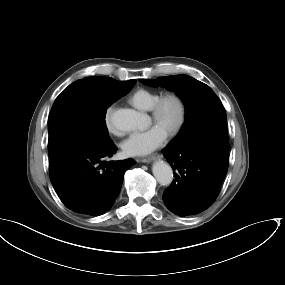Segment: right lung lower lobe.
Masks as SVG:
<instances>
[{
	"label": "right lung lower lobe",
	"mask_w": 285,
	"mask_h": 285,
	"mask_svg": "<svg viewBox=\"0 0 285 285\" xmlns=\"http://www.w3.org/2000/svg\"><path fill=\"white\" fill-rule=\"evenodd\" d=\"M116 151L110 141L104 145L75 146L50 159L51 183L68 209L98 216L112 207L125 171L135 163L133 159L103 161Z\"/></svg>",
	"instance_id": "right-lung-lower-lobe-1"
}]
</instances>
